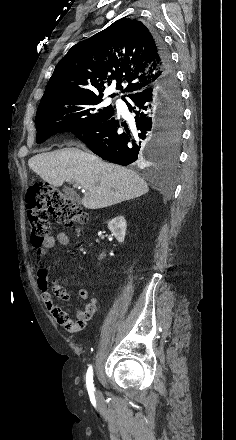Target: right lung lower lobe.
<instances>
[{
    "label": "right lung lower lobe",
    "instance_id": "1",
    "mask_svg": "<svg viewBox=\"0 0 236 440\" xmlns=\"http://www.w3.org/2000/svg\"><path fill=\"white\" fill-rule=\"evenodd\" d=\"M155 40L162 75L154 84L123 99L135 121L127 125L113 114L108 120L76 134L95 154L123 166L147 165L162 148L161 137L170 123L182 121L181 96L171 58L163 39L150 28ZM146 147L148 152L145 151Z\"/></svg>",
    "mask_w": 236,
    "mask_h": 440
}]
</instances>
